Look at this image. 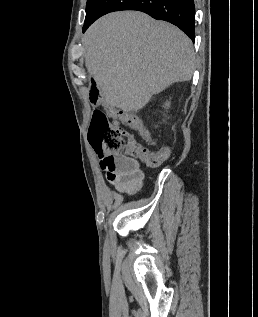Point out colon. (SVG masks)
Here are the masks:
<instances>
[{
    "mask_svg": "<svg viewBox=\"0 0 258 317\" xmlns=\"http://www.w3.org/2000/svg\"><path fill=\"white\" fill-rule=\"evenodd\" d=\"M89 100L93 105L105 102L95 86L90 89ZM115 115L102 110L93 111L88 129V141L93 149L109 156L136 158L148 166L160 165L165 160L164 154L143 147L132 134L114 127L112 120Z\"/></svg>",
    "mask_w": 258,
    "mask_h": 317,
    "instance_id": "obj_1",
    "label": "colon"
}]
</instances>
